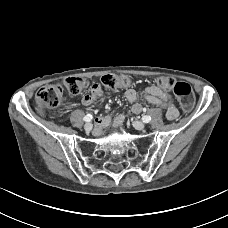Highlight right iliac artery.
<instances>
[{"mask_svg": "<svg viewBox=\"0 0 228 228\" xmlns=\"http://www.w3.org/2000/svg\"><path fill=\"white\" fill-rule=\"evenodd\" d=\"M92 120V115L91 114H87L85 117H84V121L86 122H90Z\"/></svg>", "mask_w": 228, "mask_h": 228, "instance_id": "1", "label": "right iliac artery"}]
</instances>
